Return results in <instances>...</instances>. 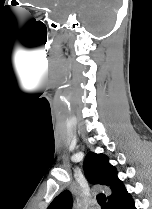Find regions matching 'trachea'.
Here are the masks:
<instances>
[{"label": "trachea", "mask_w": 152, "mask_h": 209, "mask_svg": "<svg viewBox=\"0 0 152 209\" xmlns=\"http://www.w3.org/2000/svg\"><path fill=\"white\" fill-rule=\"evenodd\" d=\"M97 202L99 203L102 209H108V205L106 203V196L103 193L97 195Z\"/></svg>", "instance_id": "1"}]
</instances>
